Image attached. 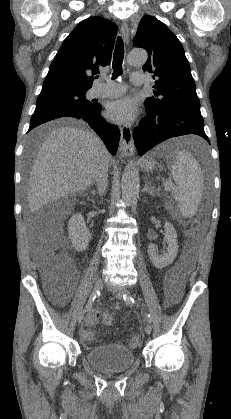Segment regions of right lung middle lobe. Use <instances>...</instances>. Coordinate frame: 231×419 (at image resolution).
<instances>
[{
    "label": "right lung middle lobe",
    "mask_w": 231,
    "mask_h": 419,
    "mask_svg": "<svg viewBox=\"0 0 231 419\" xmlns=\"http://www.w3.org/2000/svg\"><path fill=\"white\" fill-rule=\"evenodd\" d=\"M85 89H78L65 85H50L42 87L37 98L36 106L63 104L74 107L89 108L93 103L85 99Z\"/></svg>",
    "instance_id": "1"
}]
</instances>
